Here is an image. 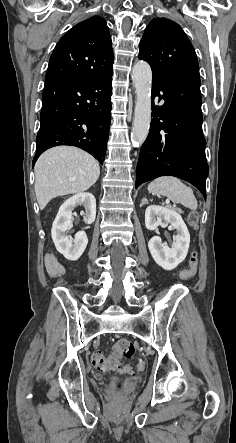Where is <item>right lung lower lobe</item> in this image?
<instances>
[{"label": "right lung lower lobe", "instance_id": "right-lung-lower-lobe-1", "mask_svg": "<svg viewBox=\"0 0 236 443\" xmlns=\"http://www.w3.org/2000/svg\"><path fill=\"white\" fill-rule=\"evenodd\" d=\"M112 74L110 70L95 77L45 82L32 166L45 150L59 145L84 149L103 164L109 136Z\"/></svg>", "mask_w": 236, "mask_h": 443}]
</instances>
